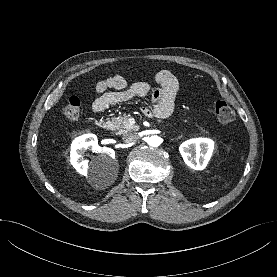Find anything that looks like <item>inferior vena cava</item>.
<instances>
[{"mask_svg": "<svg viewBox=\"0 0 277 277\" xmlns=\"http://www.w3.org/2000/svg\"><path fill=\"white\" fill-rule=\"evenodd\" d=\"M138 138H139V136H138L137 133H128V134H125V135L123 136V140H124L126 143L134 142V141H136Z\"/></svg>", "mask_w": 277, "mask_h": 277, "instance_id": "602c4592", "label": "inferior vena cava"}]
</instances>
